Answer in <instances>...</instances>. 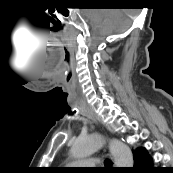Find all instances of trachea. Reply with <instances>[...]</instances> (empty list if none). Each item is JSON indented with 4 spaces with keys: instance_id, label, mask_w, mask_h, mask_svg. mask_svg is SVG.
Masks as SVG:
<instances>
[{
    "instance_id": "trachea-1",
    "label": "trachea",
    "mask_w": 173,
    "mask_h": 173,
    "mask_svg": "<svg viewBox=\"0 0 173 173\" xmlns=\"http://www.w3.org/2000/svg\"><path fill=\"white\" fill-rule=\"evenodd\" d=\"M105 167L111 168L112 167V161L111 160H105Z\"/></svg>"
}]
</instances>
